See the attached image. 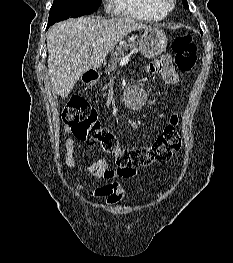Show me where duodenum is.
I'll list each match as a JSON object with an SVG mask.
<instances>
[{"mask_svg":"<svg viewBox=\"0 0 233 263\" xmlns=\"http://www.w3.org/2000/svg\"><path fill=\"white\" fill-rule=\"evenodd\" d=\"M98 77V72L94 69H88L82 75L83 81L87 84L95 83L98 80Z\"/></svg>","mask_w":233,"mask_h":263,"instance_id":"obj_1","label":"duodenum"}]
</instances>
